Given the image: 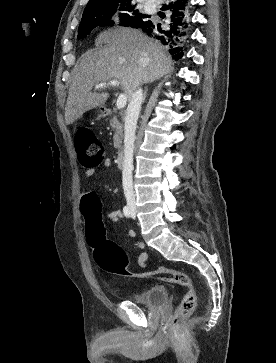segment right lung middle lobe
I'll return each mask as SVG.
<instances>
[{"mask_svg": "<svg viewBox=\"0 0 276 363\" xmlns=\"http://www.w3.org/2000/svg\"><path fill=\"white\" fill-rule=\"evenodd\" d=\"M117 10L127 11L121 13V25L138 28L144 22V15L139 13L131 2L112 1L100 3L85 8L78 30V38L81 39L98 26H112V16Z\"/></svg>", "mask_w": 276, "mask_h": 363, "instance_id": "dd1d6c3e", "label": "right lung middle lobe"}]
</instances>
